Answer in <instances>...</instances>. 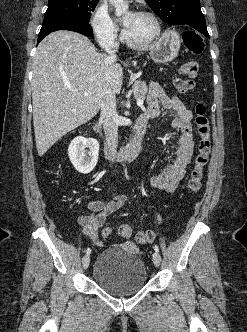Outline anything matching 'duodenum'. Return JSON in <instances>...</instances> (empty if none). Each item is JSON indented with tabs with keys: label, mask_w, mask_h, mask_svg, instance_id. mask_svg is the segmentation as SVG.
<instances>
[{
	"label": "duodenum",
	"mask_w": 247,
	"mask_h": 332,
	"mask_svg": "<svg viewBox=\"0 0 247 332\" xmlns=\"http://www.w3.org/2000/svg\"><path fill=\"white\" fill-rule=\"evenodd\" d=\"M147 122L148 118L144 115H141L137 120V134L134 139L118 151H115L113 148L107 145L106 152L108 156L110 158H117L120 160H130L137 157L143 149ZM94 130L96 133L101 134L100 126L97 123L94 125Z\"/></svg>",
	"instance_id": "1"
}]
</instances>
